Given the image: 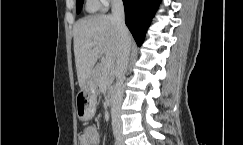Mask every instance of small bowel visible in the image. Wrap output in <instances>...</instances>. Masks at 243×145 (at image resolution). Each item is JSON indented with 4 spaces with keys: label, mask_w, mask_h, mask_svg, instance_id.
Wrapping results in <instances>:
<instances>
[{
    "label": "small bowel",
    "mask_w": 243,
    "mask_h": 145,
    "mask_svg": "<svg viewBox=\"0 0 243 145\" xmlns=\"http://www.w3.org/2000/svg\"><path fill=\"white\" fill-rule=\"evenodd\" d=\"M79 145H99L100 136L94 127H87L78 138Z\"/></svg>",
    "instance_id": "c3829d8e"
}]
</instances>
